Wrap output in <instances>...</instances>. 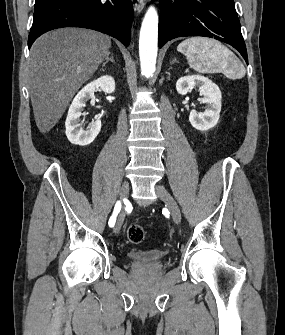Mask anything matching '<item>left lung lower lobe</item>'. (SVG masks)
<instances>
[{
    "mask_svg": "<svg viewBox=\"0 0 285 335\" xmlns=\"http://www.w3.org/2000/svg\"><path fill=\"white\" fill-rule=\"evenodd\" d=\"M159 47L183 36H205L228 43L248 64L234 0H160Z\"/></svg>",
    "mask_w": 285,
    "mask_h": 335,
    "instance_id": "0a47b994",
    "label": "left lung lower lobe"
}]
</instances>
